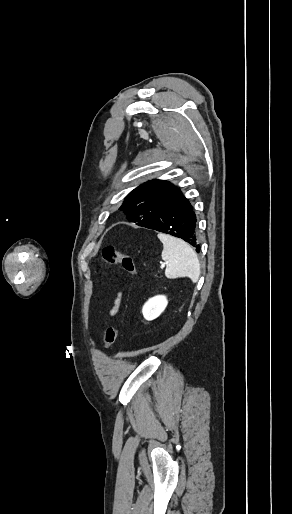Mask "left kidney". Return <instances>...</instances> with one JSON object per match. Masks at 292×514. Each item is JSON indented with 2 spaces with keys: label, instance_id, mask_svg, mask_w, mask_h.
<instances>
[{
  "label": "left kidney",
  "instance_id": "1",
  "mask_svg": "<svg viewBox=\"0 0 292 514\" xmlns=\"http://www.w3.org/2000/svg\"><path fill=\"white\" fill-rule=\"evenodd\" d=\"M167 304L168 300H166L165 296L150 298L142 308V314L145 320H155V318H158V316L164 312Z\"/></svg>",
  "mask_w": 292,
  "mask_h": 514
}]
</instances>
